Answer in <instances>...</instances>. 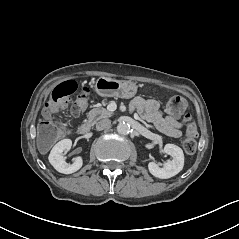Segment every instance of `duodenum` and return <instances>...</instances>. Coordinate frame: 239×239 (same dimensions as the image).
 <instances>
[{
    "instance_id": "obj_1",
    "label": "duodenum",
    "mask_w": 239,
    "mask_h": 239,
    "mask_svg": "<svg viewBox=\"0 0 239 239\" xmlns=\"http://www.w3.org/2000/svg\"><path fill=\"white\" fill-rule=\"evenodd\" d=\"M90 128H91V125L89 123L85 122L79 126L78 131L81 135H85L90 131Z\"/></svg>"
}]
</instances>
